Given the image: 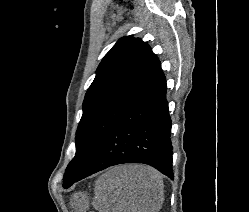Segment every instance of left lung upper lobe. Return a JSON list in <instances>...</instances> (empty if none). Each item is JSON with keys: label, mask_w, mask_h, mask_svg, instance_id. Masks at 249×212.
<instances>
[{"label": "left lung upper lobe", "mask_w": 249, "mask_h": 212, "mask_svg": "<svg viewBox=\"0 0 249 212\" xmlns=\"http://www.w3.org/2000/svg\"><path fill=\"white\" fill-rule=\"evenodd\" d=\"M160 68L150 46L139 38L123 37L106 54L84 98L76 154L66 168L63 187L84 173L114 124Z\"/></svg>", "instance_id": "1"}]
</instances>
